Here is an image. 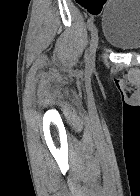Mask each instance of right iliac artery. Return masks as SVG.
<instances>
[{
	"label": "right iliac artery",
	"instance_id": "1",
	"mask_svg": "<svg viewBox=\"0 0 140 196\" xmlns=\"http://www.w3.org/2000/svg\"><path fill=\"white\" fill-rule=\"evenodd\" d=\"M87 25H88L89 30H91L93 27V19L92 18L88 19Z\"/></svg>",
	"mask_w": 140,
	"mask_h": 196
}]
</instances>
